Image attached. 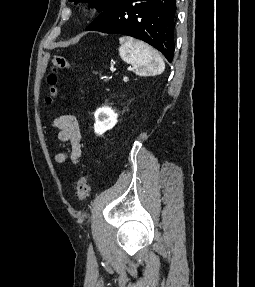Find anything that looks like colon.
Segmentation results:
<instances>
[{
	"mask_svg": "<svg viewBox=\"0 0 255 287\" xmlns=\"http://www.w3.org/2000/svg\"><path fill=\"white\" fill-rule=\"evenodd\" d=\"M70 68H72V65L64 56L61 55L54 56L52 60V70L47 77L49 94L46 98V102L48 104H51L55 96L57 95V84H58L57 71ZM89 192H90V186L88 182V176L83 175L77 182L76 194L80 200H85L88 197Z\"/></svg>",
	"mask_w": 255,
	"mask_h": 287,
	"instance_id": "colon-1",
	"label": "colon"
}]
</instances>
